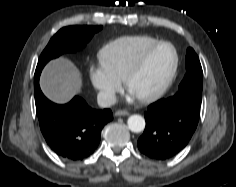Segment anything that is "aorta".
Here are the masks:
<instances>
[{
	"mask_svg": "<svg viewBox=\"0 0 236 187\" xmlns=\"http://www.w3.org/2000/svg\"><path fill=\"white\" fill-rule=\"evenodd\" d=\"M127 124L132 132L139 133L145 128V119L141 115H131L128 118Z\"/></svg>",
	"mask_w": 236,
	"mask_h": 187,
	"instance_id": "obj_1",
	"label": "aorta"
}]
</instances>
